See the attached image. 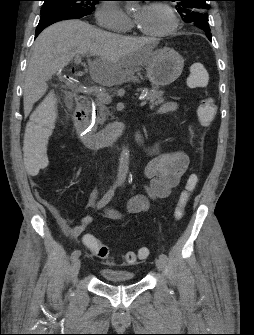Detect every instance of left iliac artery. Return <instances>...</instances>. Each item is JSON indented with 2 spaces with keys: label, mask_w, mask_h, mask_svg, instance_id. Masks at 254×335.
<instances>
[{
  "label": "left iliac artery",
  "mask_w": 254,
  "mask_h": 335,
  "mask_svg": "<svg viewBox=\"0 0 254 335\" xmlns=\"http://www.w3.org/2000/svg\"><path fill=\"white\" fill-rule=\"evenodd\" d=\"M159 258L160 259H163V260H167V255L166 254H164V253H161L160 255H159Z\"/></svg>",
  "instance_id": "1"
}]
</instances>
